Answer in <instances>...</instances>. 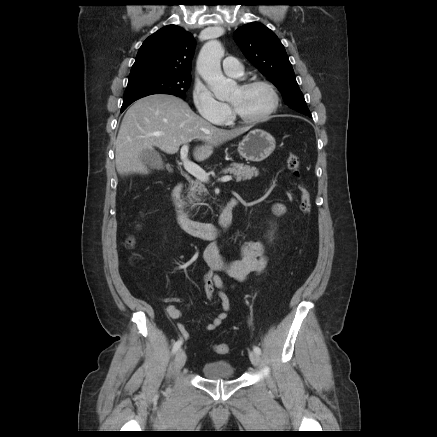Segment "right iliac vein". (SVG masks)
<instances>
[{"label":"right iliac vein","mask_w":437,"mask_h":437,"mask_svg":"<svg viewBox=\"0 0 437 437\" xmlns=\"http://www.w3.org/2000/svg\"><path fill=\"white\" fill-rule=\"evenodd\" d=\"M186 363V353L184 350L180 349L175 357V369L179 371Z\"/></svg>","instance_id":"63e3f726"}]
</instances>
